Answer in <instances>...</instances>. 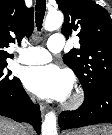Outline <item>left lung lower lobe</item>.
<instances>
[{"label":"left lung lower lobe","instance_id":"obj_1","mask_svg":"<svg viewBox=\"0 0 112 135\" xmlns=\"http://www.w3.org/2000/svg\"><path fill=\"white\" fill-rule=\"evenodd\" d=\"M98 123H112V83L95 88L85 95L84 103L77 110L64 111L59 118L61 129Z\"/></svg>","mask_w":112,"mask_h":135}]
</instances>
